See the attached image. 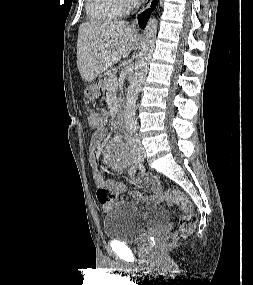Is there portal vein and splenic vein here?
<instances>
[{
    "label": "portal vein and splenic vein",
    "instance_id": "portal-vein-and-splenic-vein-1",
    "mask_svg": "<svg viewBox=\"0 0 253 285\" xmlns=\"http://www.w3.org/2000/svg\"><path fill=\"white\" fill-rule=\"evenodd\" d=\"M104 46L99 47V49H103ZM118 84V78L115 75L114 77H112L111 79H109V85L110 86H116Z\"/></svg>",
    "mask_w": 253,
    "mask_h": 285
}]
</instances>
